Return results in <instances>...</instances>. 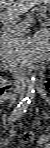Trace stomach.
Instances as JSON below:
<instances>
[{
  "label": "stomach",
  "instance_id": "0dacf381",
  "mask_svg": "<svg viewBox=\"0 0 50 148\" xmlns=\"http://www.w3.org/2000/svg\"><path fill=\"white\" fill-rule=\"evenodd\" d=\"M49 10H50V1L49 0H46V1H44V10H43V13L45 14V13L49 12Z\"/></svg>",
  "mask_w": 50,
  "mask_h": 148
}]
</instances>
